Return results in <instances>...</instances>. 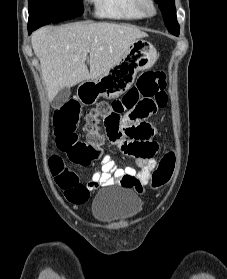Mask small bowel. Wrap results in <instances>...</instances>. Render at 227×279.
<instances>
[{
	"instance_id": "small-bowel-1",
	"label": "small bowel",
	"mask_w": 227,
	"mask_h": 279,
	"mask_svg": "<svg viewBox=\"0 0 227 279\" xmlns=\"http://www.w3.org/2000/svg\"><path fill=\"white\" fill-rule=\"evenodd\" d=\"M128 124L130 125L148 124L152 126L154 129V134L150 139V141L155 144L153 138L156 135V129L152 124L147 122H141V121H130L128 122ZM104 131L107 132L110 139L119 147V149L123 153L129 154L128 146L132 144L133 140L121 142L120 140H118L116 136L109 133L106 127H104ZM134 159L140 167L139 171H137L135 168L131 166L117 167L115 161L110 155L107 154L103 155L101 158V168L92 174L91 178L86 182L84 188L77 193V195L75 196V202L77 204H83L89 199L90 192L97 189L98 187H107L116 184L125 185L124 181L132 177L140 180L141 189H142L145 185H147L150 182L152 171L156 166V161L154 158H149V159L134 158ZM130 187L137 190L135 186H130Z\"/></svg>"
}]
</instances>
